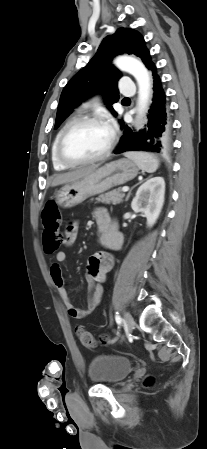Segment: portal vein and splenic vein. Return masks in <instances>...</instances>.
I'll use <instances>...</instances> for the list:
<instances>
[{
  "label": "portal vein and splenic vein",
  "mask_w": 207,
  "mask_h": 449,
  "mask_svg": "<svg viewBox=\"0 0 207 449\" xmlns=\"http://www.w3.org/2000/svg\"><path fill=\"white\" fill-rule=\"evenodd\" d=\"M128 190H129V187H127V186L122 188L123 192H127Z\"/></svg>",
  "instance_id": "18ae733b"
}]
</instances>
